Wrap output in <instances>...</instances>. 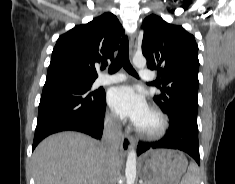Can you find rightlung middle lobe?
<instances>
[{
	"instance_id": "1",
	"label": "right lung middle lobe",
	"mask_w": 235,
	"mask_h": 184,
	"mask_svg": "<svg viewBox=\"0 0 235 184\" xmlns=\"http://www.w3.org/2000/svg\"><path fill=\"white\" fill-rule=\"evenodd\" d=\"M67 84L70 85H79L82 88L90 91L91 86L94 82V80H87V79H80V78H74V77H66L63 79ZM95 93L102 92V90H96Z\"/></svg>"
}]
</instances>
